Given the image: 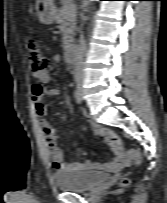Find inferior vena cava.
I'll return each mask as SVG.
<instances>
[{"mask_svg":"<svg viewBox=\"0 0 167 203\" xmlns=\"http://www.w3.org/2000/svg\"><path fill=\"white\" fill-rule=\"evenodd\" d=\"M86 54V43L83 35L80 36L79 44L76 49L75 71L78 78H83L84 57Z\"/></svg>","mask_w":167,"mask_h":203,"instance_id":"602c4592","label":"inferior vena cava"}]
</instances>
